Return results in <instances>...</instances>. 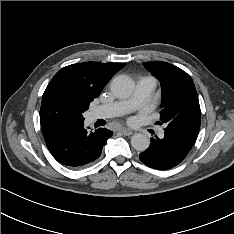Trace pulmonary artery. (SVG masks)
<instances>
[{"label": "pulmonary artery", "instance_id": "e3ab8cb5", "mask_svg": "<svg viewBox=\"0 0 234 234\" xmlns=\"http://www.w3.org/2000/svg\"><path fill=\"white\" fill-rule=\"evenodd\" d=\"M156 81L152 77H142L138 80L136 90L131 98L121 100L109 105L101 106L91 113V119L109 118L123 115L130 110L146 103L155 89ZM163 135V131H159V136Z\"/></svg>", "mask_w": 234, "mask_h": 234}]
</instances>
